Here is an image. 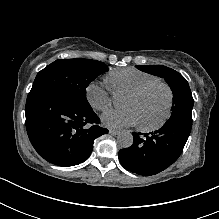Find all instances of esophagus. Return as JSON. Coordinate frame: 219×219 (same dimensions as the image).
<instances>
[{"label": "esophagus", "instance_id": "1", "mask_svg": "<svg viewBox=\"0 0 219 219\" xmlns=\"http://www.w3.org/2000/svg\"><path fill=\"white\" fill-rule=\"evenodd\" d=\"M109 133L112 134V135H118L120 133V130H118V129H110Z\"/></svg>", "mask_w": 219, "mask_h": 219}]
</instances>
